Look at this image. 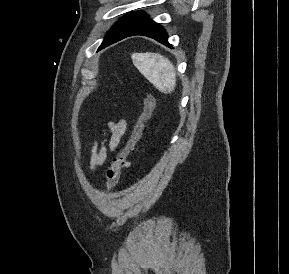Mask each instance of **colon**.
<instances>
[{
  "label": "colon",
  "mask_w": 289,
  "mask_h": 274,
  "mask_svg": "<svg viewBox=\"0 0 289 274\" xmlns=\"http://www.w3.org/2000/svg\"><path fill=\"white\" fill-rule=\"evenodd\" d=\"M156 101L152 94L147 93L144 98L143 110L139 115L132 133L124 147L114 156L107 170L106 188L112 190L120 180L121 174L128 167V157L139 141L146 122L150 119L155 109Z\"/></svg>",
  "instance_id": "colon-1"
}]
</instances>
